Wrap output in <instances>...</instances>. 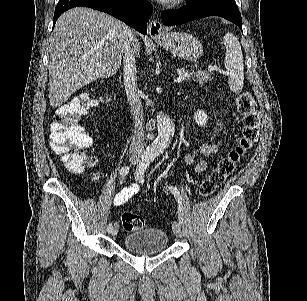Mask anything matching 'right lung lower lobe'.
<instances>
[{
	"instance_id": "right-lung-lower-lobe-1",
	"label": "right lung lower lobe",
	"mask_w": 307,
	"mask_h": 301,
	"mask_svg": "<svg viewBox=\"0 0 307 301\" xmlns=\"http://www.w3.org/2000/svg\"><path fill=\"white\" fill-rule=\"evenodd\" d=\"M73 7H90L106 12L142 34H147V22L152 13V5L145 0H59L53 26L62 13Z\"/></svg>"
}]
</instances>
